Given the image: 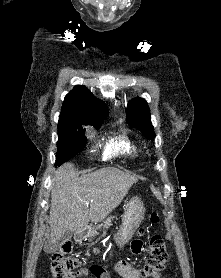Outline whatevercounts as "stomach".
Wrapping results in <instances>:
<instances>
[{
  "label": "stomach",
  "mask_w": 221,
  "mask_h": 278,
  "mask_svg": "<svg viewBox=\"0 0 221 278\" xmlns=\"http://www.w3.org/2000/svg\"><path fill=\"white\" fill-rule=\"evenodd\" d=\"M145 208L138 197H132L124 209L121 231L115 236L116 242L122 246L127 243L134 235L143 220Z\"/></svg>",
  "instance_id": "1"
}]
</instances>
